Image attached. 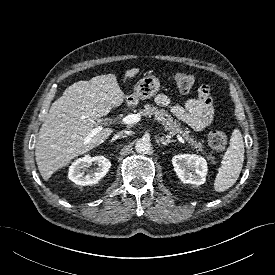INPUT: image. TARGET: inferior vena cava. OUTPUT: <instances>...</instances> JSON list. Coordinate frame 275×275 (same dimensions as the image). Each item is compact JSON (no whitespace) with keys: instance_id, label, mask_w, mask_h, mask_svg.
<instances>
[{"instance_id":"1","label":"inferior vena cava","mask_w":275,"mask_h":275,"mask_svg":"<svg viewBox=\"0 0 275 275\" xmlns=\"http://www.w3.org/2000/svg\"><path fill=\"white\" fill-rule=\"evenodd\" d=\"M129 134H131V131L122 130L118 134H116L114 138L117 139L118 137H125L126 135H129Z\"/></svg>"}]
</instances>
